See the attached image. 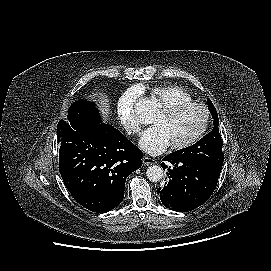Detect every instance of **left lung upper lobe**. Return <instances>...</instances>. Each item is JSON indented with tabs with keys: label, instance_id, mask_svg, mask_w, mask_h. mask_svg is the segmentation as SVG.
<instances>
[{
	"label": "left lung upper lobe",
	"instance_id": "obj_1",
	"mask_svg": "<svg viewBox=\"0 0 271 271\" xmlns=\"http://www.w3.org/2000/svg\"><path fill=\"white\" fill-rule=\"evenodd\" d=\"M207 104L214 118V129L194 145L180 149L173 152V154L180 159L199 163L210 171L220 175L224 161V153L222 151L223 142L218 128L219 118L210 99H207Z\"/></svg>",
	"mask_w": 271,
	"mask_h": 271
}]
</instances>
